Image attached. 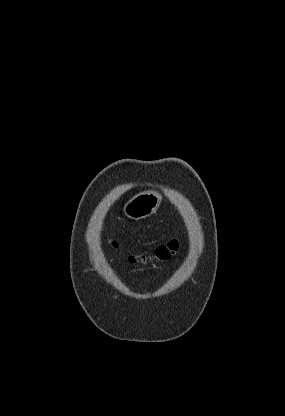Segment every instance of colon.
Segmentation results:
<instances>
[{"label": "colon", "instance_id": "5ec220e1", "mask_svg": "<svg viewBox=\"0 0 285 416\" xmlns=\"http://www.w3.org/2000/svg\"><path fill=\"white\" fill-rule=\"evenodd\" d=\"M116 245V244H114ZM178 242L176 240L170 241L166 245H161L156 248L154 252V258L160 261L168 260L178 250ZM136 256H131L130 261H135Z\"/></svg>", "mask_w": 285, "mask_h": 416}]
</instances>
